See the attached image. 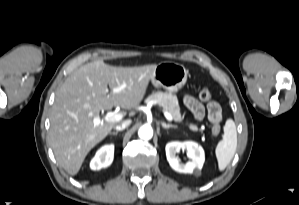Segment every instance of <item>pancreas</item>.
I'll return each mask as SVG.
<instances>
[{
	"mask_svg": "<svg viewBox=\"0 0 299 205\" xmlns=\"http://www.w3.org/2000/svg\"><path fill=\"white\" fill-rule=\"evenodd\" d=\"M156 101L165 111L171 114L172 118L176 122H182V116L178 105V98L172 93L156 92L151 94L147 99L146 103ZM188 127L192 131L199 130L198 126L193 123H187Z\"/></svg>",
	"mask_w": 299,
	"mask_h": 205,
	"instance_id": "pancreas-1",
	"label": "pancreas"
}]
</instances>
